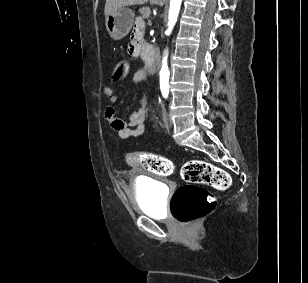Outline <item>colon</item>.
I'll return each mask as SVG.
<instances>
[{
    "instance_id": "obj_1",
    "label": "colon",
    "mask_w": 308,
    "mask_h": 283,
    "mask_svg": "<svg viewBox=\"0 0 308 283\" xmlns=\"http://www.w3.org/2000/svg\"><path fill=\"white\" fill-rule=\"evenodd\" d=\"M128 72L129 63L119 60L114 66L112 78L122 80ZM127 162L161 176H169L174 172V165L168 158L153 153H130L127 155ZM180 175L185 184L179 186L173 194L171 211L174 218L184 224L203 218L215 207L214 196L201 185H209L219 190L227 189L231 185V178L225 170L203 160L185 162Z\"/></svg>"
}]
</instances>
